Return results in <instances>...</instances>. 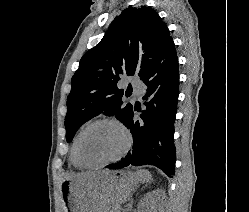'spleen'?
Returning a JSON list of instances; mask_svg holds the SVG:
<instances>
[{"mask_svg": "<svg viewBox=\"0 0 249 212\" xmlns=\"http://www.w3.org/2000/svg\"><path fill=\"white\" fill-rule=\"evenodd\" d=\"M145 174H147V176H146L144 182H149V180H151V176H150L149 172H147V170H145Z\"/></svg>", "mask_w": 249, "mask_h": 212, "instance_id": "3e777b00", "label": "spleen"}]
</instances>
